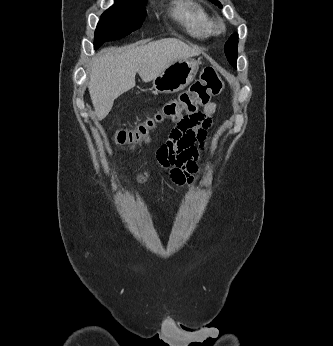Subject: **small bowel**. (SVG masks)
<instances>
[{
  "mask_svg": "<svg viewBox=\"0 0 333 346\" xmlns=\"http://www.w3.org/2000/svg\"><path fill=\"white\" fill-rule=\"evenodd\" d=\"M216 110L217 105L212 102L205 106L204 113H201L200 117L191 116L179 121L167 141L157 150L158 162L169 170L175 184L179 186L192 184L193 174L198 171L201 152L207 146L208 130L212 126ZM196 141L199 147L193 146ZM147 179L148 174L139 176L142 182Z\"/></svg>",
  "mask_w": 333,
  "mask_h": 346,
  "instance_id": "1",
  "label": "small bowel"
}]
</instances>
